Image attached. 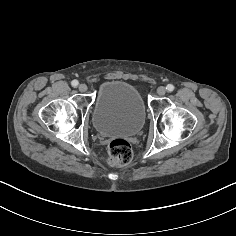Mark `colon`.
<instances>
[{"label": "colon", "mask_w": 236, "mask_h": 236, "mask_svg": "<svg viewBox=\"0 0 236 236\" xmlns=\"http://www.w3.org/2000/svg\"><path fill=\"white\" fill-rule=\"evenodd\" d=\"M107 163L112 166H124L132 160L130 144L121 138L114 139L108 146Z\"/></svg>", "instance_id": "1"}]
</instances>
